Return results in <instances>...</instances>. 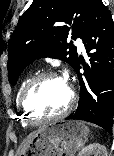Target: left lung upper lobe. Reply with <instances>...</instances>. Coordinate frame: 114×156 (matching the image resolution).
Wrapping results in <instances>:
<instances>
[{"mask_svg":"<svg viewBox=\"0 0 114 156\" xmlns=\"http://www.w3.org/2000/svg\"><path fill=\"white\" fill-rule=\"evenodd\" d=\"M99 1L34 0L21 16L11 38L8 54L11 85L16 84L27 65L41 57L61 59L75 68L77 51L67 39L82 37Z\"/></svg>","mask_w":114,"mask_h":156,"instance_id":"5c2ea615","label":"left lung upper lobe"}]
</instances>
